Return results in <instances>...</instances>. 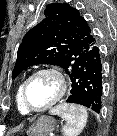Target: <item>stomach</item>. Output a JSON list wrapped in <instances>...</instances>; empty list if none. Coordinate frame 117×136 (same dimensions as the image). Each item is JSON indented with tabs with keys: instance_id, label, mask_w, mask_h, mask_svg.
Segmentation results:
<instances>
[{
	"instance_id": "0dacf381",
	"label": "stomach",
	"mask_w": 117,
	"mask_h": 136,
	"mask_svg": "<svg viewBox=\"0 0 117 136\" xmlns=\"http://www.w3.org/2000/svg\"><path fill=\"white\" fill-rule=\"evenodd\" d=\"M55 129V120L49 116H41L31 125L28 134L31 136H47Z\"/></svg>"
}]
</instances>
